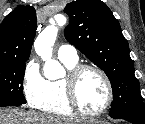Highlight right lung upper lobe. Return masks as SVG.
<instances>
[{"label":"right lung upper lobe","instance_id":"right-lung-upper-lobe-1","mask_svg":"<svg viewBox=\"0 0 145 124\" xmlns=\"http://www.w3.org/2000/svg\"><path fill=\"white\" fill-rule=\"evenodd\" d=\"M36 11L19 6L0 24V62L26 60L36 34Z\"/></svg>","mask_w":145,"mask_h":124}]
</instances>
